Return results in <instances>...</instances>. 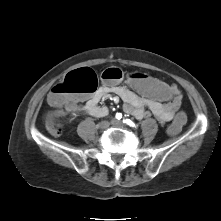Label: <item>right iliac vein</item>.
<instances>
[{
  "label": "right iliac vein",
  "mask_w": 221,
  "mask_h": 221,
  "mask_svg": "<svg viewBox=\"0 0 221 221\" xmlns=\"http://www.w3.org/2000/svg\"><path fill=\"white\" fill-rule=\"evenodd\" d=\"M109 125H110V123L108 121L104 120L98 124V127L100 129H107L109 127Z\"/></svg>",
  "instance_id": "63e3f726"
}]
</instances>
